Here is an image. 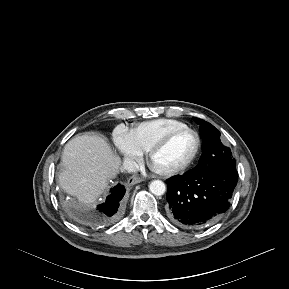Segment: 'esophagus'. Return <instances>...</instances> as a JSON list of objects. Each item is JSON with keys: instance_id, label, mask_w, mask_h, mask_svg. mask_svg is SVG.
I'll return each mask as SVG.
<instances>
[{"instance_id": "34e87169", "label": "esophagus", "mask_w": 289, "mask_h": 289, "mask_svg": "<svg viewBox=\"0 0 289 289\" xmlns=\"http://www.w3.org/2000/svg\"><path fill=\"white\" fill-rule=\"evenodd\" d=\"M142 181H144L143 177H141V176H132V177H130L128 179V185H130V186L131 185H135V184L140 183Z\"/></svg>"}]
</instances>
